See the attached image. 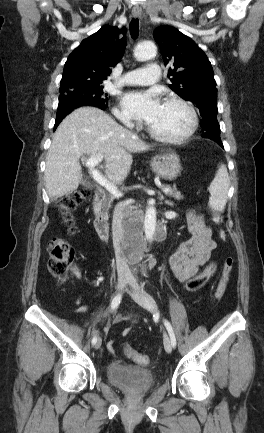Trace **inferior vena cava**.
Returning a JSON list of instances; mask_svg holds the SVG:
<instances>
[{
  "instance_id": "602c4592",
  "label": "inferior vena cava",
  "mask_w": 264,
  "mask_h": 433,
  "mask_svg": "<svg viewBox=\"0 0 264 433\" xmlns=\"http://www.w3.org/2000/svg\"><path fill=\"white\" fill-rule=\"evenodd\" d=\"M127 127H130L129 123H126ZM124 207H126L125 203H119L115 210L112 212L113 215V241H114V245H113V250H114V254L116 255V257L118 259L117 262V271H118V277L119 278H124V279H130L132 278V273L131 270L128 266V264L126 263V261H124L125 258V254L122 252V249L120 248V245L125 242L124 241V237H125V232L123 230L122 227V222H123V209ZM133 252H142V251H133Z\"/></svg>"
}]
</instances>
